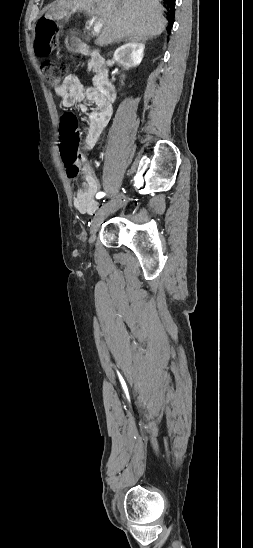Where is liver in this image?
I'll list each match as a JSON object with an SVG mask.
<instances>
[{
	"instance_id": "1",
	"label": "liver",
	"mask_w": 253,
	"mask_h": 548,
	"mask_svg": "<svg viewBox=\"0 0 253 548\" xmlns=\"http://www.w3.org/2000/svg\"><path fill=\"white\" fill-rule=\"evenodd\" d=\"M73 9L101 19L103 26L95 40L101 47L122 40L146 41L159 36L167 25L158 0H57L45 19L68 21Z\"/></svg>"
}]
</instances>
